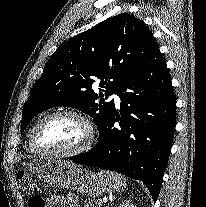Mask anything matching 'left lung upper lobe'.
<instances>
[{
    "mask_svg": "<svg viewBox=\"0 0 206 207\" xmlns=\"http://www.w3.org/2000/svg\"><path fill=\"white\" fill-rule=\"evenodd\" d=\"M157 46L145 23L126 13L62 43L24 104L21 129L44 110L70 106L90 115L101 133L115 109L113 100L104 99L117 93ZM98 83L103 93L92 90Z\"/></svg>",
    "mask_w": 206,
    "mask_h": 207,
    "instance_id": "left-lung-upper-lobe-1",
    "label": "left lung upper lobe"
}]
</instances>
